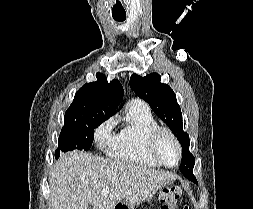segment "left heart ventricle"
Wrapping results in <instances>:
<instances>
[{
    "mask_svg": "<svg viewBox=\"0 0 253 209\" xmlns=\"http://www.w3.org/2000/svg\"><path fill=\"white\" fill-rule=\"evenodd\" d=\"M156 151L167 165H174L178 159V152L173 140L166 134L157 143Z\"/></svg>",
    "mask_w": 253,
    "mask_h": 209,
    "instance_id": "obj_1",
    "label": "left heart ventricle"
}]
</instances>
